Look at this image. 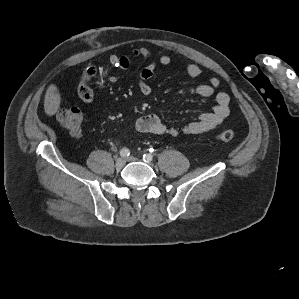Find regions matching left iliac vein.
<instances>
[{"mask_svg": "<svg viewBox=\"0 0 299 299\" xmlns=\"http://www.w3.org/2000/svg\"><path fill=\"white\" fill-rule=\"evenodd\" d=\"M127 161H130V162H135V161H139V159H138V158H135V157H129V158H127ZM147 163H149V164H150V161H149V162H147Z\"/></svg>", "mask_w": 299, "mask_h": 299, "instance_id": "obj_1", "label": "left iliac vein"}]
</instances>
